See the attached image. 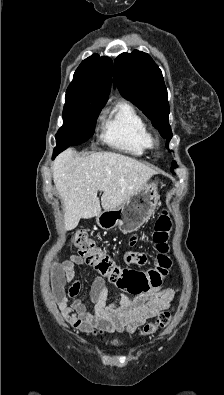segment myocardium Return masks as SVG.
I'll return each instance as SVG.
<instances>
[{"mask_svg":"<svg viewBox=\"0 0 224 395\" xmlns=\"http://www.w3.org/2000/svg\"><path fill=\"white\" fill-rule=\"evenodd\" d=\"M151 147L152 148H158L159 147V141L154 139V138H151Z\"/></svg>","mask_w":224,"mask_h":395,"instance_id":"f54148a6","label":"myocardium"}]
</instances>
